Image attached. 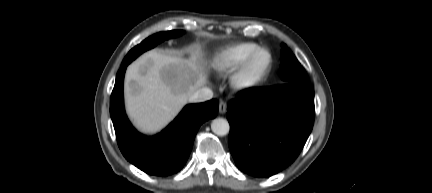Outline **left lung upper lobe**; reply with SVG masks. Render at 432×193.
<instances>
[{
  "instance_id": "5c2ea615",
  "label": "left lung upper lobe",
  "mask_w": 432,
  "mask_h": 193,
  "mask_svg": "<svg viewBox=\"0 0 432 193\" xmlns=\"http://www.w3.org/2000/svg\"><path fill=\"white\" fill-rule=\"evenodd\" d=\"M279 74L285 83L310 84L305 70L285 44H282Z\"/></svg>"
}]
</instances>
